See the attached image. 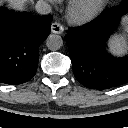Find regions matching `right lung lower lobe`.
<instances>
[{
    "label": "right lung lower lobe",
    "mask_w": 128,
    "mask_h": 128,
    "mask_svg": "<svg viewBox=\"0 0 128 128\" xmlns=\"http://www.w3.org/2000/svg\"><path fill=\"white\" fill-rule=\"evenodd\" d=\"M51 15L32 16L0 8V82L17 85L36 73L39 45L51 29Z\"/></svg>",
    "instance_id": "obj_1"
}]
</instances>
